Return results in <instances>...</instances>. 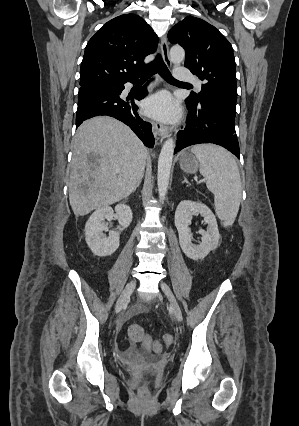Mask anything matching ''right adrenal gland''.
<instances>
[{"label":"right adrenal gland","instance_id":"right-adrenal-gland-1","mask_svg":"<svg viewBox=\"0 0 299 426\" xmlns=\"http://www.w3.org/2000/svg\"><path fill=\"white\" fill-rule=\"evenodd\" d=\"M142 178H143V177H141V178L138 180V182H137V184H136V186H135V188H134V191H133V192H135V191H136V189L140 186L141 181H142Z\"/></svg>","mask_w":299,"mask_h":426}]
</instances>
